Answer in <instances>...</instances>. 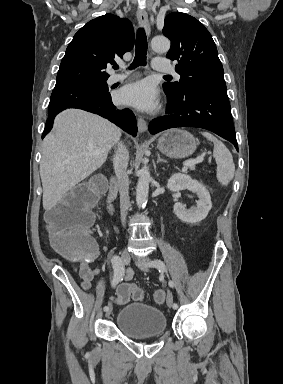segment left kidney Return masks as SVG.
I'll return each mask as SVG.
<instances>
[{"label": "left kidney", "instance_id": "obj_1", "mask_svg": "<svg viewBox=\"0 0 283 384\" xmlns=\"http://www.w3.org/2000/svg\"><path fill=\"white\" fill-rule=\"evenodd\" d=\"M167 188L170 192L190 190V192H196L199 198L196 202L197 208H191V210H185V206H182L180 202L174 204V214L179 220L187 222V224H197V222H201L208 216L212 208V202L210 194L203 184H199L197 180H192L187 174H173L168 180Z\"/></svg>", "mask_w": 283, "mask_h": 384}]
</instances>
